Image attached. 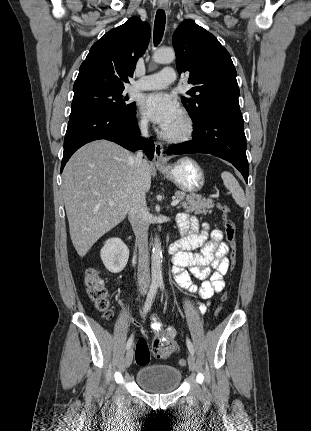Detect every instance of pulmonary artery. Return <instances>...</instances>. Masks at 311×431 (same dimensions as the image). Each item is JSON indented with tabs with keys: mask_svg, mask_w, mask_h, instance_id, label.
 I'll return each instance as SVG.
<instances>
[{
	"mask_svg": "<svg viewBox=\"0 0 311 431\" xmlns=\"http://www.w3.org/2000/svg\"><path fill=\"white\" fill-rule=\"evenodd\" d=\"M176 80V74L171 67H165L157 73L142 77L134 85L138 90H156L169 86Z\"/></svg>",
	"mask_w": 311,
	"mask_h": 431,
	"instance_id": "1",
	"label": "pulmonary artery"
}]
</instances>
